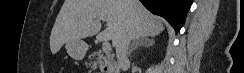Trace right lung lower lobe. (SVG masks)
I'll list each match as a JSON object with an SVG mask.
<instances>
[{
    "instance_id": "obj_1",
    "label": "right lung lower lobe",
    "mask_w": 244,
    "mask_h": 73,
    "mask_svg": "<svg viewBox=\"0 0 244 73\" xmlns=\"http://www.w3.org/2000/svg\"><path fill=\"white\" fill-rule=\"evenodd\" d=\"M143 5L156 15L164 17L175 29H181L192 0H140Z\"/></svg>"
}]
</instances>
